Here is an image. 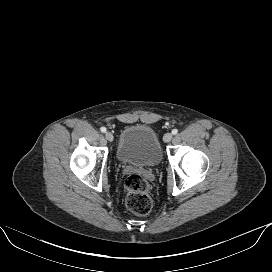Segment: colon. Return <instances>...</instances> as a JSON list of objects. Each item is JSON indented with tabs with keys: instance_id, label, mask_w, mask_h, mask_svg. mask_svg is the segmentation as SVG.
<instances>
[{
	"instance_id": "5ec220e1",
	"label": "colon",
	"mask_w": 272,
	"mask_h": 272,
	"mask_svg": "<svg viewBox=\"0 0 272 272\" xmlns=\"http://www.w3.org/2000/svg\"><path fill=\"white\" fill-rule=\"evenodd\" d=\"M127 207L137 215H147L152 208L149 183L139 174H131L124 182Z\"/></svg>"
}]
</instances>
